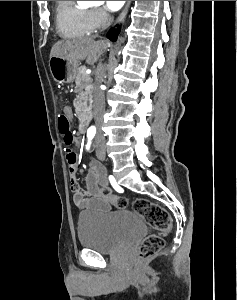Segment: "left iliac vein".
<instances>
[{
  "instance_id": "1",
  "label": "left iliac vein",
  "mask_w": 237,
  "mask_h": 300,
  "mask_svg": "<svg viewBox=\"0 0 237 300\" xmlns=\"http://www.w3.org/2000/svg\"><path fill=\"white\" fill-rule=\"evenodd\" d=\"M97 157L99 160L104 161L106 156H105V149L102 148L101 150L97 151Z\"/></svg>"
}]
</instances>
